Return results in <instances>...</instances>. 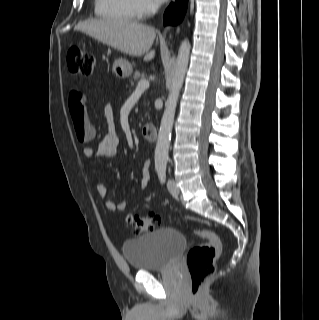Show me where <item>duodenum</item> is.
I'll return each instance as SVG.
<instances>
[{
	"instance_id": "1",
	"label": "duodenum",
	"mask_w": 319,
	"mask_h": 320,
	"mask_svg": "<svg viewBox=\"0 0 319 320\" xmlns=\"http://www.w3.org/2000/svg\"><path fill=\"white\" fill-rule=\"evenodd\" d=\"M143 136L150 142H154L157 139V128L154 124H145L142 128Z\"/></svg>"
}]
</instances>
